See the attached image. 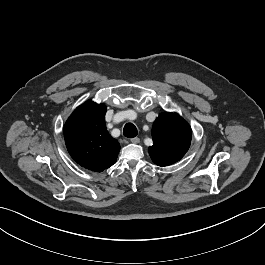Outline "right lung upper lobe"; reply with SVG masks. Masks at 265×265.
I'll list each match as a JSON object with an SVG mask.
<instances>
[{
	"label": "right lung upper lobe",
	"instance_id": "1",
	"mask_svg": "<svg viewBox=\"0 0 265 265\" xmlns=\"http://www.w3.org/2000/svg\"><path fill=\"white\" fill-rule=\"evenodd\" d=\"M106 106L88 100L71 114L64 126L71 157L82 167L102 172L115 164L120 145L107 132Z\"/></svg>",
	"mask_w": 265,
	"mask_h": 265
}]
</instances>
